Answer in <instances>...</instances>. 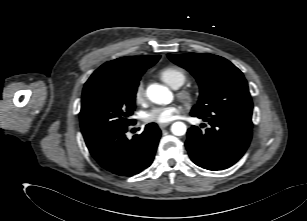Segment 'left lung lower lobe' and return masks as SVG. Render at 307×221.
<instances>
[{
    "label": "left lung lower lobe",
    "mask_w": 307,
    "mask_h": 221,
    "mask_svg": "<svg viewBox=\"0 0 307 221\" xmlns=\"http://www.w3.org/2000/svg\"><path fill=\"white\" fill-rule=\"evenodd\" d=\"M192 116L209 121L205 131L196 126L187 131L186 148L198 166L222 170L235 164L247 150L252 138V112L224 110L210 116Z\"/></svg>",
    "instance_id": "left-lung-lower-lobe-1"
}]
</instances>
